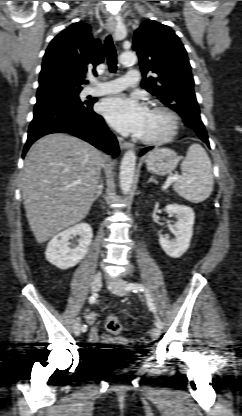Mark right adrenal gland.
Here are the masks:
<instances>
[{"instance_id": "2a0ac1e0", "label": "right adrenal gland", "mask_w": 242, "mask_h": 416, "mask_svg": "<svg viewBox=\"0 0 242 416\" xmlns=\"http://www.w3.org/2000/svg\"><path fill=\"white\" fill-rule=\"evenodd\" d=\"M103 191V183L102 181H100L99 185L96 188V192H95V196L93 201H96L98 199V197L102 194Z\"/></svg>"}]
</instances>
